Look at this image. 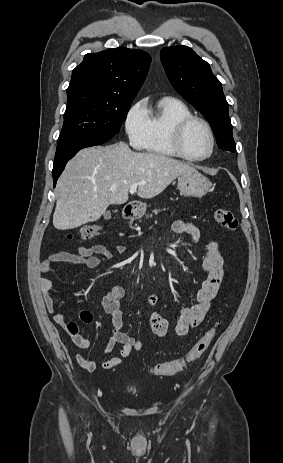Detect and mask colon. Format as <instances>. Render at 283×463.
Returning <instances> with one entry per match:
<instances>
[{"mask_svg": "<svg viewBox=\"0 0 283 463\" xmlns=\"http://www.w3.org/2000/svg\"><path fill=\"white\" fill-rule=\"evenodd\" d=\"M213 217L218 224L229 231H236L238 229V221L230 210L216 209L213 213ZM99 231V224H88L81 227L75 236L81 241L89 240L97 236ZM80 318L83 321H89L91 319V314L89 312H81ZM67 328L70 334L78 335V325L75 322L69 323ZM215 333V328L208 330L185 355L174 360L154 365L151 369L152 374L155 376H171L184 370L189 364L203 356L210 346Z\"/></svg>", "mask_w": 283, "mask_h": 463, "instance_id": "5ec220e1", "label": "colon"}]
</instances>
